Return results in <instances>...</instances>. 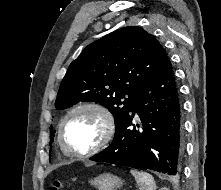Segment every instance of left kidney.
Wrapping results in <instances>:
<instances>
[{
  "instance_id": "1",
  "label": "left kidney",
  "mask_w": 221,
  "mask_h": 190,
  "mask_svg": "<svg viewBox=\"0 0 221 190\" xmlns=\"http://www.w3.org/2000/svg\"><path fill=\"white\" fill-rule=\"evenodd\" d=\"M159 190H169V189H167V188H161V189H159Z\"/></svg>"
}]
</instances>
